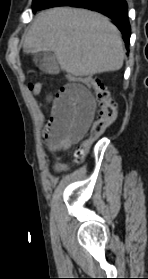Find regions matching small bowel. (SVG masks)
<instances>
[{
    "instance_id": "c3829d8e",
    "label": "small bowel",
    "mask_w": 148,
    "mask_h": 279,
    "mask_svg": "<svg viewBox=\"0 0 148 279\" xmlns=\"http://www.w3.org/2000/svg\"><path fill=\"white\" fill-rule=\"evenodd\" d=\"M46 101L50 115L43 129L46 146L52 152L67 149L86 134L93 119L95 104L90 92L82 85L68 83ZM65 167L57 166L56 170Z\"/></svg>"
}]
</instances>
